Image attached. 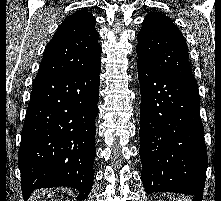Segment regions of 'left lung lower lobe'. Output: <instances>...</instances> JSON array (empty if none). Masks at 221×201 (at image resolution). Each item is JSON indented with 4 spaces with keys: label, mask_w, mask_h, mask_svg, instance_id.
Masks as SVG:
<instances>
[{
    "label": "left lung lower lobe",
    "mask_w": 221,
    "mask_h": 201,
    "mask_svg": "<svg viewBox=\"0 0 221 201\" xmlns=\"http://www.w3.org/2000/svg\"><path fill=\"white\" fill-rule=\"evenodd\" d=\"M137 66L146 193H187L202 201L208 158L197 83Z\"/></svg>",
    "instance_id": "0a47b994"
}]
</instances>
